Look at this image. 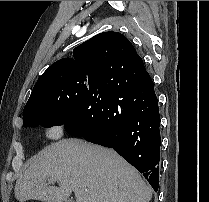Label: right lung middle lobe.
Returning a JSON list of instances; mask_svg holds the SVG:
<instances>
[{
    "instance_id": "dd1d6c3e",
    "label": "right lung middle lobe",
    "mask_w": 209,
    "mask_h": 202,
    "mask_svg": "<svg viewBox=\"0 0 209 202\" xmlns=\"http://www.w3.org/2000/svg\"><path fill=\"white\" fill-rule=\"evenodd\" d=\"M97 77L72 74L49 78L33 95L30 109L23 113L29 124L25 127L63 125L82 108Z\"/></svg>"
}]
</instances>
